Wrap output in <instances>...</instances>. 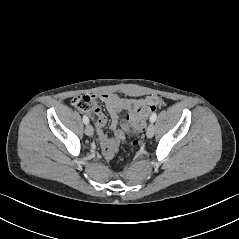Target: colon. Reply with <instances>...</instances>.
I'll use <instances>...</instances> for the list:
<instances>
[{"label":"colon","mask_w":239,"mask_h":239,"mask_svg":"<svg viewBox=\"0 0 239 239\" xmlns=\"http://www.w3.org/2000/svg\"><path fill=\"white\" fill-rule=\"evenodd\" d=\"M72 104L80 111L89 112L93 109V103L89 96L83 95L73 99ZM157 108V104H144L135 114L130 117L129 123L133 130L140 134L145 127L146 119L149 113ZM139 140L134 138L128 142L131 147L138 145Z\"/></svg>","instance_id":"5ec220e1"}]
</instances>
